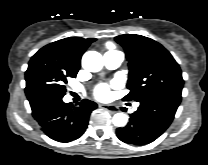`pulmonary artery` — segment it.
Wrapping results in <instances>:
<instances>
[{
    "instance_id": "pulmonary-artery-1",
    "label": "pulmonary artery",
    "mask_w": 208,
    "mask_h": 165,
    "mask_svg": "<svg viewBox=\"0 0 208 165\" xmlns=\"http://www.w3.org/2000/svg\"><path fill=\"white\" fill-rule=\"evenodd\" d=\"M104 64L108 69L118 68L123 61V54L119 51H108L104 54ZM139 106L138 103L134 105V108L137 109Z\"/></svg>"
}]
</instances>
